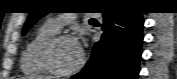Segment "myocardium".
Masks as SVG:
<instances>
[{
	"label": "myocardium",
	"mask_w": 177,
	"mask_h": 79,
	"mask_svg": "<svg viewBox=\"0 0 177 79\" xmlns=\"http://www.w3.org/2000/svg\"><path fill=\"white\" fill-rule=\"evenodd\" d=\"M65 40H70L75 42L80 50V61L79 63L72 69L67 70V71H61L56 69L50 62V58H49V52L50 50L57 45L58 43L65 41ZM37 60L38 63L41 65V67L47 72L50 73L52 75H56V76H62V77H67L70 75H73L77 72H79L84 63H85V56L84 53L82 51V49L80 48L77 39L70 34H56L50 38H48L47 40H45L40 47L37 50Z\"/></svg>",
	"instance_id": "f54148a6"
}]
</instances>
